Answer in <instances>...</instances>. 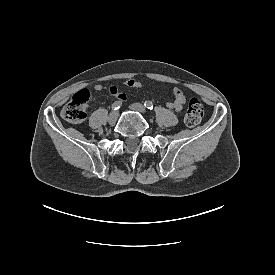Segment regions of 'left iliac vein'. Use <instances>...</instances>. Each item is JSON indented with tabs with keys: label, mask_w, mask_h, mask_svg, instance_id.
Listing matches in <instances>:
<instances>
[{
	"label": "left iliac vein",
	"mask_w": 275,
	"mask_h": 275,
	"mask_svg": "<svg viewBox=\"0 0 275 275\" xmlns=\"http://www.w3.org/2000/svg\"><path fill=\"white\" fill-rule=\"evenodd\" d=\"M130 108L133 110V111H137L141 114H146V110H145V107L140 104V103H133L131 104Z\"/></svg>",
	"instance_id": "1"
}]
</instances>
